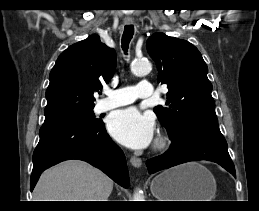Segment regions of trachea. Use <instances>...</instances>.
I'll return each mask as SVG.
<instances>
[{
  "mask_svg": "<svg viewBox=\"0 0 259 211\" xmlns=\"http://www.w3.org/2000/svg\"><path fill=\"white\" fill-rule=\"evenodd\" d=\"M134 34V27L132 25H128L124 27V32L122 35V48L124 51H127L129 43Z\"/></svg>",
  "mask_w": 259,
  "mask_h": 211,
  "instance_id": "3493384b",
  "label": "trachea"
}]
</instances>
